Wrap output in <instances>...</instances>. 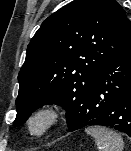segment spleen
Instances as JSON below:
<instances>
[{
	"label": "spleen",
	"mask_w": 131,
	"mask_h": 151,
	"mask_svg": "<svg viewBox=\"0 0 131 151\" xmlns=\"http://www.w3.org/2000/svg\"><path fill=\"white\" fill-rule=\"evenodd\" d=\"M85 132L94 138L99 151H123L124 142L120 135L103 127H89Z\"/></svg>",
	"instance_id": "3e777b00"
}]
</instances>
